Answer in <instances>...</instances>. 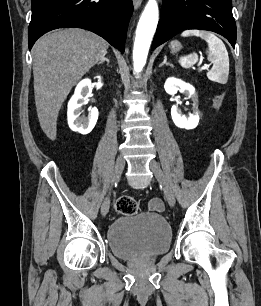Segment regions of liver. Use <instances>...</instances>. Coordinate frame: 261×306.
<instances>
[{"label":"liver","instance_id":"1","mask_svg":"<svg viewBox=\"0 0 261 306\" xmlns=\"http://www.w3.org/2000/svg\"><path fill=\"white\" fill-rule=\"evenodd\" d=\"M108 43L78 28L47 33L32 49L34 95L40 126L55 140L57 117L72 87L106 55Z\"/></svg>","mask_w":261,"mask_h":306}]
</instances>
